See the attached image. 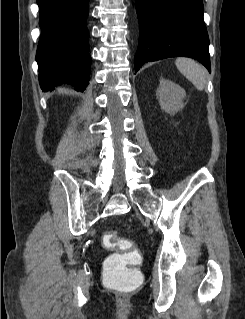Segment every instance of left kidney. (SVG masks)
<instances>
[{
    "label": "left kidney",
    "instance_id": "left-kidney-1",
    "mask_svg": "<svg viewBox=\"0 0 245 319\" xmlns=\"http://www.w3.org/2000/svg\"><path fill=\"white\" fill-rule=\"evenodd\" d=\"M156 95L161 109L166 113L174 115L184 107L183 99L186 98V92L173 81L161 79Z\"/></svg>",
    "mask_w": 245,
    "mask_h": 319
}]
</instances>
